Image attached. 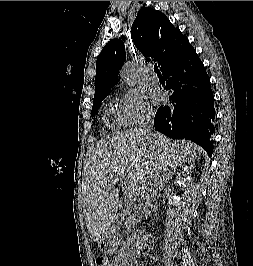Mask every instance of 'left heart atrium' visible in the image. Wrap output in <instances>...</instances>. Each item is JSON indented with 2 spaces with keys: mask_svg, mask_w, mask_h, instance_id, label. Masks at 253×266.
<instances>
[{
  "mask_svg": "<svg viewBox=\"0 0 253 266\" xmlns=\"http://www.w3.org/2000/svg\"><path fill=\"white\" fill-rule=\"evenodd\" d=\"M153 99H154L155 101H158V100H159V95L156 94V93H154V94H153Z\"/></svg>",
  "mask_w": 253,
  "mask_h": 266,
  "instance_id": "obj_1",
  "label": "left heart atrium"
}]
</instances>
